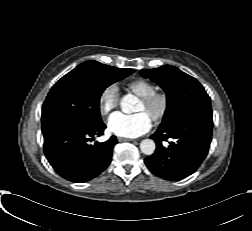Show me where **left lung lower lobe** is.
Returning <instances> with one entry per match:
<instances>
[{
    "label": "left lung lower lobe",
    "mask_w": 252,
    "mask_h": 231,
    "mask_svg": "<svg viewBox=\"0 0 252 231\" xmlns=\"http://www.w3.org/2000/svg\"><path fill=\"white\" fill-rule=\"evenodd\" d=\"M212 128V112L196 111L178 117L151 135L156 151L145 158L146 166L166 180L191 175L208 153ZM163 141H168L169 145L164 147Z\"/></svg>",
    "instance_id": "left-lung-lower-lobe-1"
}]
</instances>
